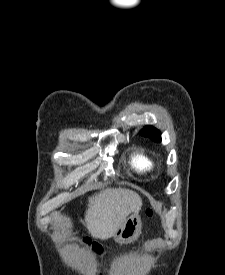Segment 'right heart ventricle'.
I'll list each match as a JSON object with an SVG mask.
<instances>
[{
  "mask_svg": "<svg viewBox=\"0 0 225 275\" xmlns=\"http://www.w3.org/2000/svg\"><path fill=\"white\" fill-rule=\"evenodd\" d=\"M131 165L138 171H146L151 169L152 161L141 152H135L131 156Z\"/></svg>",
  "mask_w": 225,
  "mask_h": 275,
  "instance_id": "e07e8e85",
  "label": "right heart ventricle"
}]
</instances>
